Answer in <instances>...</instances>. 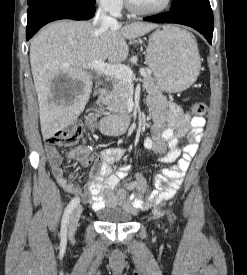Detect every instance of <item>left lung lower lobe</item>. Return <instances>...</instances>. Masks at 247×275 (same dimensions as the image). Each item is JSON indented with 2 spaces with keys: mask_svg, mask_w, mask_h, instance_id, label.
I'll return each instance as SVG.
<instances>
[{
  "mask_svg": "<svg viewBox=\"0 0 247 275\" xmlns=\"http://www.w3.org/2000/svg\"><path fill=\"white\" fill-rule=\"evenodd\" d=\"M157 23H178L199 31L211 44L214 28L213 13L209 2L192 4L177 10L144 18Z\"/></svg>",
  "mask_w": 247,
  "mask_h": 275,
  "instance_id": "0a47b994",
  "label": "left lung lower lobe"
}]
</instances>
